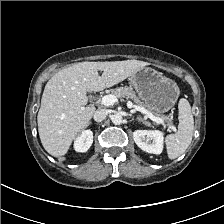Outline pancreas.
I'll return each instance as SVG.
<instances>
[{
  "label": "pancreas",
  "instance_id": "obj_1",
  "mask_svg": "<svg viewBox=\"0 0 224 224\" xmlns=\"http://www.w3.org/2000/svg\"><path fill=\"white\" fill-rule=\"evenodd\" d=\"M112 93L113 95L116 96V98H126L132 100L136 105L147 109L149 112L154 113L156 116H161L159 113L154 112L146 103L141 101L131 87L128 86L119 87L113 89ZM161 117L163 120H166L168 122L171 121V118H169L168 116H161Z\"/></svg>",
  "mask_w": 224,
  "mask_h": 224
}]
</instances>
